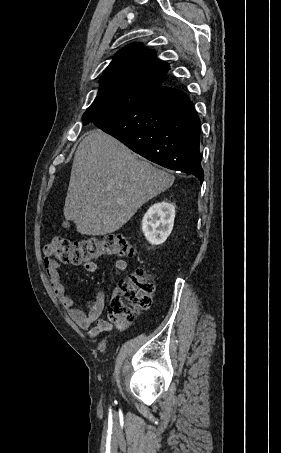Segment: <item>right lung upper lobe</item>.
<instances>
[{"label":"right lung upper lobe","instance_id":"right-lung-upper-lobe-1","mask_svg":"<svg viewBox=\"0 0 281 453\" xmlns=\"http://www.w3.org/2000/svg\"><path fill=\"white\" fill-rule=\"evenodd\" d=\"M168 71L169 64L159 60L155 51L145 49L141 43L127 45L104 71L98 95L86 111L129 101L153 90L168 80Z\"/></svg>","mask_w":281,"mask_h":453}]
</instances>
